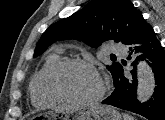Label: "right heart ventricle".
Returning a JSON list of instances; mask_svg holds the SVG:
<instances>
[{
    "mask_svg": "<svg viewBox=\"0 0 165 120\" xmlns=\"http://www.w3.org/2000/svg\"><path fill=\"white\" fill-rule=\"evenodd\" d=\"M62 60L60 53H51L49 54L41 68L38 72L33 76L29 93L31 102L34 106L40 108H46L50 106H54L59 103L55 97L51 95L47 87V79L52 71V69Z\"/></svg>",
    "mask_w": 165,
    "mask_h": 120,
    "instance_id": "1",
    "label": "right heart ventricle"
}]
</instances>
